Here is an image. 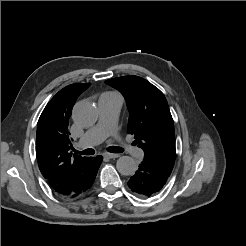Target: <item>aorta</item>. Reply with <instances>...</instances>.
I'll list each match as a JSON object with an SVG mask.
<instances>
[{
  "instance_id": "aorta-1",
  "label": "aorta",
  "mask_w": 246,
  "mask_h": 246,
  "mask_svg": "<svg viewBox=\"0 0 246 246\" xmlns=\"http://www.w3.org/2000/svg\"><path fill=\"white\" fill-rule=\"evenodd\" d=\"M73 120L81 126H91L97 120V111L90 101H81L75 104L72 113ZM118 172L125 176L133 175L137 170L135 160L130 156H121L116 163Z\"/></svg>"
}]
</instances>
